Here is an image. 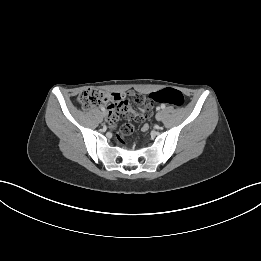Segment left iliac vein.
Returning a JSON list of instances; mask_svg holds the SVG:
<instances>
[{"instance_id":"1","label":"left iliac vein","mask_w":261,"mask_h":261,"mask_svg":"<svg viewBox=\"0 0 261 261\" xmlns=\"http://www.w3.org/2000/svg\"><path fill=\"white\" fill-rule=\"evenodd\" d=\"M162 118H163V113H162L161 111H159V112L156 114V119H157L158 121H161Z\"/></svg>"}]
</instances>
